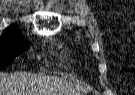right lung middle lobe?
<instances>
[{"label": "right lung middle lobe", "mask_w": 135, "mask_h": 95, "mask_svg": "<svg viewBox=\"0 0 135 95\" xmlns=\"http://www.w3.org/2000/svg\"><path fill=\"white\" fill-rule=\"evenodd\" d=\"M29 45L20 33H14L0 38V69L13 62V60L27 50Z\"/></svg>", "instance_id": "right-lung-middle-lobe-1"}]
</instances>
